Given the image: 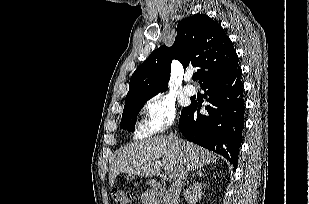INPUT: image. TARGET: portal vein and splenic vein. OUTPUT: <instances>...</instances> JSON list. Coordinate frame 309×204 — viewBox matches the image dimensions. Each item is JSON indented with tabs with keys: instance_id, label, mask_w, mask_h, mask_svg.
<instances>
[{
	"instance_id": "obj_1",
	"label": "portal vein and splenic vein",
	"mask_w": 309,
	"mask_h": 204,
	"mask_svg": "<svg viewBox=\"0 0 309 204\" xmlns=\"http://www.w3.org/2000/svg\"><path fill=\"white\" fill-rule=\"evenodd\" d=\"M165 178H166L167 180L172 179L171 173H170V172H167L166 175H165Z\"/></svg>"
}]
</instances>
